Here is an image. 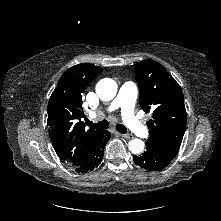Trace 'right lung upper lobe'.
Returning a JSON list of instances; mask_svg holds the SVG:
<instances>
[{
  "mask_svg": "<svg viewBox=\"0 0 221 221\" xmlns=\"http://www.w3.org/2000/svg\"><path fill=\"white\" fill-rule=\"evenodd\" d=\"M92 64H78L61 76L48 103L49 135L58 157L67 164L82 162L90 153L102 131L86 130L81 118L83 93L102 72Z\"/></svg>",
  "mask_w": 221,
  "mask_h": 221,
  "instance_id": "1",
  "label": "right lung upper lobe"
}]
</instances>
